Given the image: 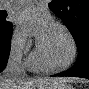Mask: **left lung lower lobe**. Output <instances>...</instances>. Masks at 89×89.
<instances>
[{
	"instance_id": "obj_1",
	"label": "left lung lower lobe",
	"mask_w": 89,
	"mask_h": 89,
	"mask_svg": "<svg viewBox=\"0 0 89 89\" xmlns=\"http://www.w3.org/2000/svg\"><path fill=\"white\" fill-rule=\"evenodd\" d=\"M78 57L76 63L67 71L54 76H73L89 79V33H84L77 43Z\"/></svg>"
}]
</instances>
